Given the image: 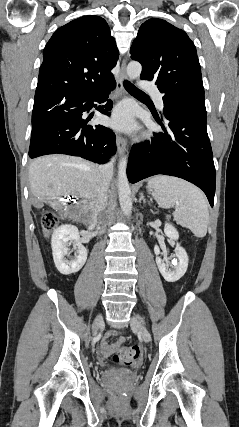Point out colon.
I'll list each match as a JSON object with an SVG mask.
<instances>
[{
  "instance_id": "colon-1",
  "label": "colon",
  "mask_w": 239,
  "mask_h": 427,
  "mask_svg": "<svg viewBox=\"0 0 239 427\" xmlns=\"http://www.w3.org/2000/svg\"><path fill=\"white\" fill-rule=\"evenodd\" d=\"M41 226L45 233H49L57 226V220L51 213H46L41 217ZM140 353V347L137 345L122 347L113 355V360L119 365L131 366L137 361ZM115 396L119 398L122 393L117 391Z\"/></svg>"
}]
</instances>
